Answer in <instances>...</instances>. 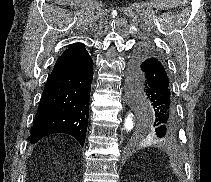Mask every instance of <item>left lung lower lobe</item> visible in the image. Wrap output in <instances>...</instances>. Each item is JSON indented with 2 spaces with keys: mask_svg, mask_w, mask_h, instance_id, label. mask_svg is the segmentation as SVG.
Masks as SVG:
<instances>
[{
  "mask_svg": "<svg viewBox=\"0 0 211 182\" xmlns=\"http://www.w3.org/2000/svg\"><path fill=\"white\" fill-rule=\"evenodd\" d=\"M129 98L139 114L147 106L152 113V134L173 138L178 130L169 75L160 54L150 45H139L130 60Z\"/></svg>",
  "mask_w": 211,
  "mask_h": 182,
  "instance_id": "left-lung-lower-lobe-1",
  "label": "left lung lower lobe"
}]
</instances>
